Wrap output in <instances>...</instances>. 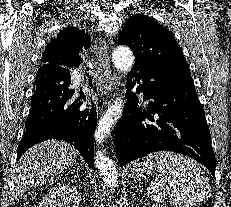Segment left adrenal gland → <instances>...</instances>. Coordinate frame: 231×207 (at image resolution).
Returning <instances> with one entry per match:
<instances>
[{"label": "left adrenal gland", "instance_id": "left-adrenal-gland-1", "mask_svg": "<svg viewBox=\"0 0 231 207\" xmlns=\"http://www.w3.org/2000/svg\"><path fill=\"white\" fill-rule=\"evenodd\" d=\"M135 188H136L135 190H136V192H137V191H138V188H137V186H136Z\"/></svg>", "mask_w": 231, "mask_h": 207}]
</instances>
